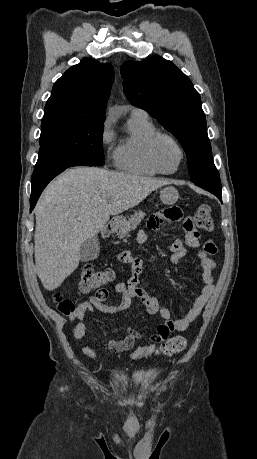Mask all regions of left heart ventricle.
<instances>
[{
  "label": "left heart ventricle",
  "instance_id": "obj_1",
  "mask_svg": "<svg viewBox=\"0 0 257 459\" xmlns=\"http://www.w3.org/2000/svg\"><path fill=\"white\" fill-rule=\"evenodd\" d=\"M155 154L160 165L167 171L174 170L180 160L177 147L168 139H161L156 145Z\"/></svg>",
  "mask_w": 257,
  "mask_h": 459
}]
</instances>
